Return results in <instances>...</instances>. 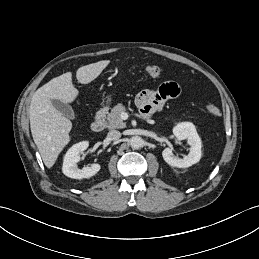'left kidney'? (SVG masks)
<instances>
[{
    "label": "left kidney",
    "instance_id": "obj_1",
    "mask_svg": "<svg viewBox=\"0 0 259 259\" xmlns=\"http://www.w3.org/2000/svg\"><path fill=\"white\" fill-rule=\"evenodd\" d=\"M177 140H186L190 146L189 153L184 158H178L173 154L172 148H165L162 152L163 159L171 166L187 168L199 162L201 158V139L195 126L190 122H182L173 128Z\"/></svg>",
    "mask_w": 259,
    "mask_h": 259
}]
</instances>
